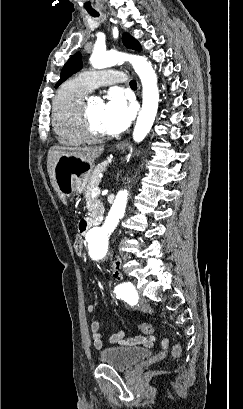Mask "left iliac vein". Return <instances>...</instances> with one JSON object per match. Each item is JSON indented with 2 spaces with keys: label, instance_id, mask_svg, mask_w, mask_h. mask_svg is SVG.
<instances>
[{
  "label": "left iliac vein",
  "instance_id": "4c4485c4",
  "mask_svg": "<svg viewBox=\"0 0 243 409\" xmlns=\"http://www.w3.org/2000/svg\"><path fill=\"white\" fill-rule=\"evenodd\" d=\"M139 306H140L141 308H144V307L146 306V301H145L144 299H141V300L139 301Z\"/></svg>",
  "mask_w": 243,
  "mask_h": 409
}]
</instances>
